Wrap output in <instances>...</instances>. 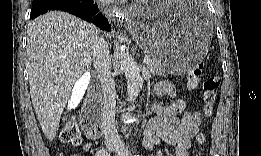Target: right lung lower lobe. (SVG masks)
I'll return each mask as SVG.
<instances>
[{
	"instance_id": "obj_1",
	"label": "right lung lower lobe",
	"mask_w": 261,
	"mask_h": 156,
	"mask_svg": "<svg viewBox=\"0 0 261 156\" xmlns=\"http://www.w3.org/2000/svg\"><path fill=\"white\" fill-rule=\"evenodd\" d=\"M50 10L69 12L93 22L103 30L111 31L107 18L98 13L97 3L93 0H33L31 17L35 18Z\"/></svg>"
}]
</instances>
